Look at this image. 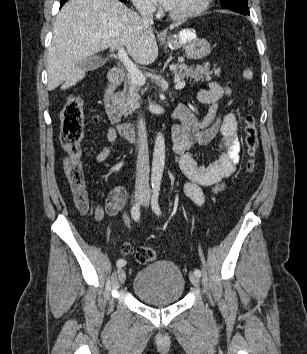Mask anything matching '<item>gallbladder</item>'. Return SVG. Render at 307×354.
Segmentation results:
<instances>
[{"instance_id": "obj_1", "label": "gallbladder", "mask_w": 307, "mask_h": 354, "mask_svg": "<svg viewBox=\"0 0 307 354\" xmlns=\"http://www.w3.org/2000/svg\"><path fill=\"white\" fill-rule=\"evenodd\" d=\"M105 63V60L97 57V56H93V57H89L83 61H81L79 63V65L85 69V70H94L97 69L98 67L102 66Z\"/></svg>"}]
</instances>
